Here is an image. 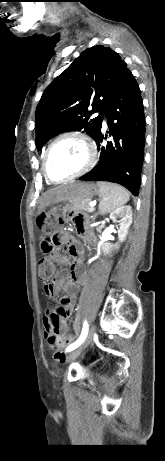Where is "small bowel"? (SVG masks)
I'll return each instance as SVG.
<instances>
[{"label":"small bowel","instance_id":"obj_1","mask_svg":"<svg viewBox=\"0 0 165 461\" xmlns=\"http://www.w3.org/2000/svg\"><path fill=\"white\" fill-rule=\"evenodd\" d=\"M82 209H70L69 204H59L58 209L54 210L56 217H70L71 223L75 226L79 236L83 237L90 243L94 242L92 234L87 232L85 219L82 216ZM70 255L74 259L70 271H58L51 283L45 285L46 294L54 298L61 291L64 294L60 298V305L54 310L48 312L44 317V335L46 338L55 336L58 340H71L74 337L67 334V321L71 317L78 293V285L83 281L84 274L82 271V250L77 241H70ZM50 258L56 263H68V257L60 250H54ZM55 358L62 359L63 355L55 352Z\"/></svg>","mask_w":165,"mask_h":461}]
</instances>
